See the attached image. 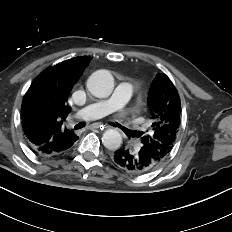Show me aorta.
I'll return each mask as SVG.
<instances>
[{
  "label": "aorta",
  "mask_w": 232,
  "mask_h": 232,
  "mask_svg": "<svg viewBox=\"0 0 232 232\" xmlns=\"http://www.w3.org/2000/svg\"><path fill=\"white\" fill-rule=\"evenodd\" d=\"M87 88L95 97L106 98L114 88L113 76L106 70L97 71L89 77ZM102 143L109 150H117L122 144L121 134L115 129H108L103 133Z\"/></svg>",
  "instance_id": "1"
}]
</instances>
